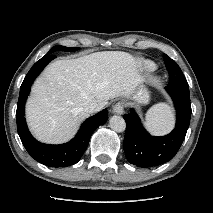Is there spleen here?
I'll return each instance as SVG.
<instances>
[{
	"label": "spleen",
	"mask_w": 213,
	"mask_h": 213,
	"mask_svg": "<svg viewBox=\"0 0 213 213\" xmlns=\"http://www.w3.org/2000/svg\"><path fill=\"white\" fill-rule=\"evenodd\" d=\"M172 124L173 113L166 103L154 105L146 114V128L153 134H163L169 131Z\"/></svg>",
	"instance_id": "1"
}]
</instances>
